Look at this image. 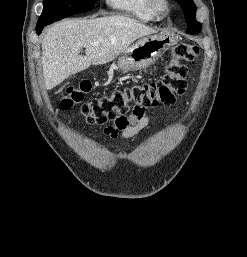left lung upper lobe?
Masks as SVG:
<instances>
[{"label": "left lung upper lobe", "instance_id": "5c2ea615", "mask_svg": "<svg viewBox=\"0 0 247 257\" xmlns=\"http://www.w3.org/2000/svg\"><path fill=\"white\" fill-rule=\"evenodd\" d=\"M182 7L186 23L188 25L187 33L196 34L202 26L196 20V5L193 0H175Z\"/></svg>", "mask_w": 247, "mask_h": 257}]
</instances>
